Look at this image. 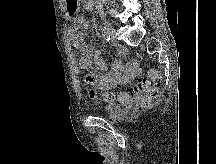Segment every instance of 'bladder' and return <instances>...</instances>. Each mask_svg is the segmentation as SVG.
Listing matches in <instances>:
<instances>
[{
	"label": "bladder",
	"mask_w": 216,
	"mask_h": 164,
	"mask_svg": "<svg viewBox=\"0 0 216 164\" xmlns=\"http://www.w3.org/2000/svg\"><path fill=\"white\" fill-rule=\"evenodd\" d=\"M129 111V107L128 106H118L115 109L110 110L107 118L110 121H120L121 119H123Z\"/></svg>",
	"instance_id": "obj_1"
}]
</instances>
